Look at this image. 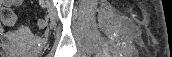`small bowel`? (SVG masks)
Instances as JSON below:
<instances>
[{
    "label": "small bowel",
    "mask_w": 172,
    "mask_h": 57,
    "mask_svg": "<svg viewBox=\"0 0 172 57\" xmlns=\"http://www.w3.org/2000/svg\"><path fill=\"white\" fill-rule=\"evenodd\" d=\"M15 2H16V3H21L22 1H19V0H18V1H15Z\"/></svg>",
    "instance_id": "1"
}]
</instances>
